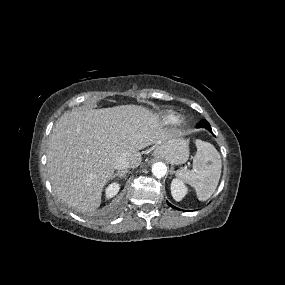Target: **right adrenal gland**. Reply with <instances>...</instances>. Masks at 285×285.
Listing matches in <instances>:
<instances>
[{"mask_svg": "<svg viewBox=\"0 0 285 285\" xmlns=\"http://www.w3.org/2000/svg\"><path fill=\"white\" fill-rule=\"evenodd\" d=\"M126 173H128V170H123V171H118L116 174L113 175V179L115 177H120V178H126Z\"/></svg>", "mask_w": 285, "mask_h": 285, "instance_id": "right-adrenal-gland-1", "label": "right adrenal gland"}]
</instances>
